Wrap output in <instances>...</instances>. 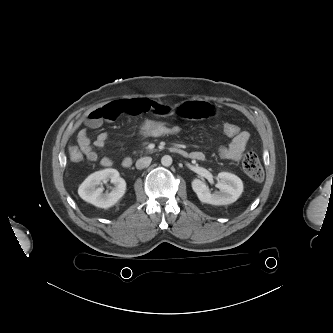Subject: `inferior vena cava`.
Instances as JSON below:
<instances>
[{
  "label": "inferior vena cava",
  "instance_id": "inferior-vena-cava-1",
  "mask_svg": "<svg viewBox=\"0 0 333 333\" xmlns=\"http://www.w3.org/2000/svg\"><path fill=\"white\" fill-rule=\"evenodd\" d=\"M151 161H152L151 157L140 158L136 161V168L137 169H143V168L149 166Z\"/></svg>",
  "mask_w": 333,
  "mask_h": 333
}]
</instances>
